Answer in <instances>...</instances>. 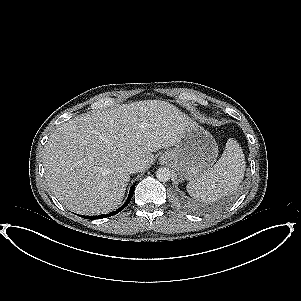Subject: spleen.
I'll return each mask as SVG.
<instances>
[{
	"instance_id": "3e777b00",
	"label": "spleen",
	"mask_w": 301,
	"mask_h": 301,
	"mask_svg": "<svg viewBox=\"0 0 301 301\" xmlns=\"http://www.w3.org/2000/svg\"><path fill=\"white\" fill-rule=\"evenodd\" d=\"M245 157L234 140H228L221 158L203 176L187 184V192L203 202L232 195L244 178Z\"/></svg>"
}]
</instances>
